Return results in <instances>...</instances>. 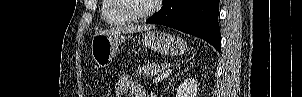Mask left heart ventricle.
<instances>
[{"mask_svg": "<svg viewBox=\"0 0 302 97\" xmlns=\"http://www.w3.org/2000/svg\"><path fill=\"white\" fill-rule=\"evenodd\" d=\"M152 0H125L128 10L134 14L144 13L152 4Z\"/></svg>", "mask_w": 302, "mask_h": 97, "instance_id": "obj_1", "label": "left heart ventricle"}]
</instances>
